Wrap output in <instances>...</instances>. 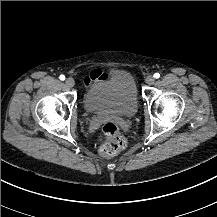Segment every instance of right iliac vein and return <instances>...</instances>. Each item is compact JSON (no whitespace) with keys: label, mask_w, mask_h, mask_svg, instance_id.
I'll return each mask as SVG.
<instances>
[{"label":"right iliac vein","mask_w":217,"mask_h":217,"mask_svg":"<svg viewBox=\"0 0 217 217\" xmlns=\"http://www.w3.org/2000/svg\"><path fill=\"white\" fill-rule=\"evenodd\" d=\"M65 85L67 86V87H73L74 85H75V81H74V79L73 78H67L66 80H65Z\"/></svg>","instance_id":"right-iliac-vein-1"}]
</instances>
